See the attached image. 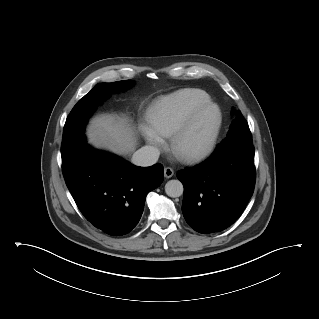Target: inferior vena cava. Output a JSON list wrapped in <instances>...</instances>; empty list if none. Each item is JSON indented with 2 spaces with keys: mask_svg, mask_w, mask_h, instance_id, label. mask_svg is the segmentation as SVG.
Masks as SVG:
<instances>
[{
  "mask_svg": "<svg viewBox=\"0 0 319 319\" xmlns=\"http://www.w3.org/2000/svg\"><path fill=\"white\" fill-rule=\"evenodd\" d=\"M160 151L154 146H144L137 150L132 156V163L137 166H151L159 158Z\"/></svg>",
  "mask_w": 319,
  "mask_h": 319,
  "instance_id": "obj_1",
  "label": "inferior vena cava"
}]
</instances>
